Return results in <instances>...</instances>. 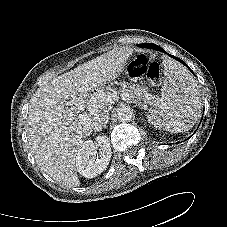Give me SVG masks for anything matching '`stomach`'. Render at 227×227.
Here are the masks:
<instances>
[{"label": "stomach", "mask_w": 227, "mask_h": 227, "mask_svg": "<svg viewBox=\"0 0 227 227\" xmlns=\"http://www.w3.org/2000/svg\"><path fill=\"white\" fill-rule=\"evenodd\" d=\"M118 90V87L114 83H102L100 86L91 90V96L93 98H102L108 94H114Z\"/></svg>", "instance_id": "1"}]
</instances>
